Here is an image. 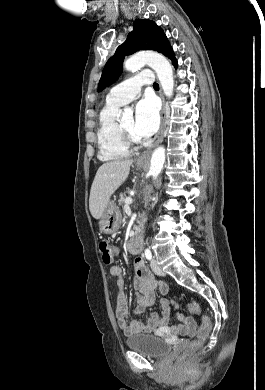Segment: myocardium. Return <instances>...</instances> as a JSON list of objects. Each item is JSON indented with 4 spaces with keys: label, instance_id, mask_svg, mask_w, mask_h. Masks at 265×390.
Returning a JSON list of instances; mask_svg holds the SVG:
<instances>
[{
    "label": "myocardium",
    "instance_id": "1",
    "mask_svg": "<svg viewBox=\"0 0 265 390\" xmlns=\"http://www.w3.org/2000/svg\"><path fill=\"white\" fill-rule=\"evenodd\" d=\"M119 130L122 136V139L124 143L129 147V148H136L141 144V140L138 137H135L131 133H129L122 123L119 124Z\"/></svg>",
    "mask_w": 265,
    "mask_h": 390
}]
</instances>
